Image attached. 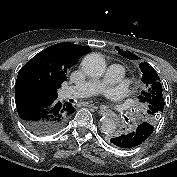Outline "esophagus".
I'll list each match as a JSON object with an SVG mask.
<instances>
[{
  "label": "esophagus",
  "instance_id": "obj_1",
  "mask_svg": "<svg viewBox=\"0 0 177 177\" xmlns=\"http://www.w3.org/2000/svg\"><path fill=\"white\" fill-rule=\"evenodd\" d=\"M108 112L109 111L104 106L99 107V113L100 114H107Z\"/></svg>",
  "mask_w": 177,
  "mask_h": 177
}]
</instances>
